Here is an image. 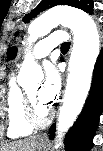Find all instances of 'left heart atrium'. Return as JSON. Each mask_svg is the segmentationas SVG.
<instances>
[{
  "label": "left heart atrium",
  "instance_id": "39dd6f15",
  "mask_svg": "<svg viewBox=\"0 0 103 151\" xmlns=\"http://www.w3.org/2000/svg\"><path fill=\"white\" fill-rule=\"evenodd\" d=\"M60 89V77L54 67H46V75L38 91V100L44 106L49 107L58 95Z\"/></svg>",
  "mask_w": 103,
  "mask_h": 151
}]
</instances>
